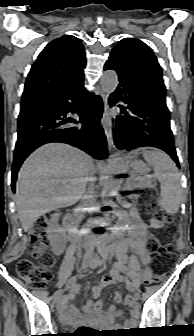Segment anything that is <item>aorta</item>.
Wrapping results in <instances>:
<instances>
[{
    "mask_svg": "<svg viewBox=\"0 0 194 336\" xmlns=\"http://www.w3.org/2000/svg\"><path fill=\"white\" fill-rule=\"evenodd\" d=\"M118 84V77L115 71H105L101 77V86L105 93L110 94L115 91ZM124 161L118 159L113 162L109 168L108 176L104 183L105 205H114V197L119 195L121 187L120 175L125 171Z\"/></svg>",
    "mask_w": 194,
    "mask_h": 336,
    "instance_id": "aorta-1",
    "label": "aorta"
}]
</instances>
